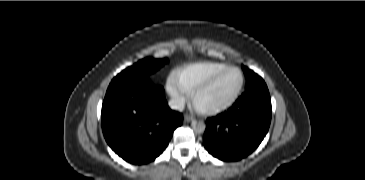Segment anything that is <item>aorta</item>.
Masks as SVG:
<instances>
[{
  "instance_id": "762f6f07",
  "label": "aorta",
  "mask_w": 365,
  "mask_h": 180,
  "mask_svg": "<svg viewBox=\"0 0 365 180\" xmlns=\"http://www.w3.org/2000/svg\"><path fill=\"white\" fill-rule=\"evenodd\" d=\"M191 127L196 133H202L205 131L206 125L203 121H192Z\"/></svg>"
}]
</instances>
